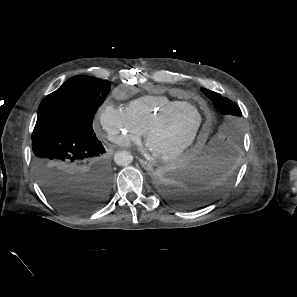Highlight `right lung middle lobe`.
<instances>
[{
    "instance_id": "obj_1",
    "label": "right lung middle lobe",
    "mask_w": 297,
    "mask_h": 297,
    "mask_svg": "<svg viewBox=\"0 0 297 297\" xmlns=\"http://www.w3.org/2000/svg\"><path fill=\"white\" fill-rule=\"evenodd\" d=\"M110 83L77 75L46 96L38 109L32 135L55 128H77L93 134V117L110 91Z\"/></svg>"
}]
</instances>
